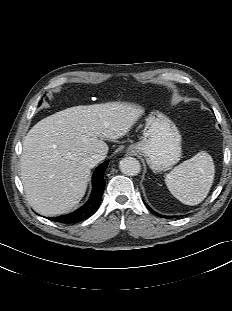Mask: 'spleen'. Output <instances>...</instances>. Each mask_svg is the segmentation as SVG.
I'll return each instance as SVG.
<instances>
[{
    "mask_svg": "<svg viewBox=\"0 0 232 311\" xmlns=\"http://www.w3.org/2000/svg\"><path fill=\"white\" fill-rule=\"evenodd\" d=\"M215 167L212 157L205 151L176 166L165 178L174 197L186 205H197L208 195Z\"/></svg>",
    "mask_w": 232,
    "mask_h": 311,
    "instance_id": "obj_1",
    "label": "spleen"
}]
</instances>
